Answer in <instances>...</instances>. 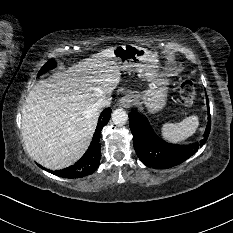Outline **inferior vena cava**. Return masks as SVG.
I'll return each instance as SVG.
<instances>
[{"mask_svg": "<svg viewBox=\"0 0 233 233\" xmlns=\"http://www.w3.org/2000/svg\"><path fill=\"white\" fill-rule=\"evenodd\" d=\"M111 104V98H107V97H103L100 98L95 104H94V108L99 110L102 108H106L109 107Z\"/></svg>", "mask_w": 233, "mask_h": 233, "instance_id": "1", "label": "inferior vena cava"}]
</instances>
